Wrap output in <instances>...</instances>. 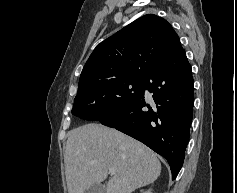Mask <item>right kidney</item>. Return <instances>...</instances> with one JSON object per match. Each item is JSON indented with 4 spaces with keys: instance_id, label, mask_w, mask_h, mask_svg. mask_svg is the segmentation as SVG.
I'll return each instance as SVG.
<instances>
[{
    "instance_id": "1",
    "label": "right kidney",
    "mask_w": 237,
    "mask_h": 193,
    "mask_svg": "<svg viewBox=\"0 0 237 193\" xmlns=\"http://www.w3.org/2000/svg\"><path fill=\"white\" fill-rule=\"evenodd\" d=\"M142 193H151V191H150V190H148V191H144V192H142Z\"/></svg>"
}]
</instances>
